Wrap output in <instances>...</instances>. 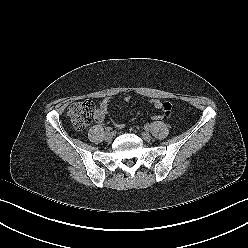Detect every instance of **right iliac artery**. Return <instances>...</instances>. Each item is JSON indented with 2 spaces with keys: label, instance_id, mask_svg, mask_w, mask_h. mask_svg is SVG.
Segmentation results:
<instances>
[{
  "label": "right iliac artery",
  "instance_id": "obj_1",
  "mask_svg": "<svg viewBox=\"0 0 248 248\" xmlns=\"http://www.w3.org/2000/svg\"><path fill=\"white\" fill-rule=\"evenodd\" d=\"M111 130H112L111 127H109V126H108V127H105V131H106V132H110Z\"/></svg>",
  "mask_w": 248,
  "mask_h": 248
}]
</instances>
